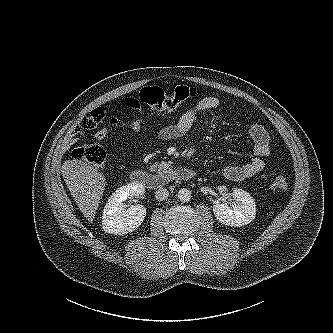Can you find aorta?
Here are the masks:
<instances>
[{
    "label": "aorta",
    "instance_id": "aorta-1",
    "mask_svg": "<svg viewBox=\"0 0 333 333\" xmlns=\"http://www.w3.org/2000/svg\"><path fill=\"white\" fill-rule=\"evenodd\" d=\"M178 198L182 202H188L191 199V191L189 189L183 188L178 192Z\"/></svg>",
    "mask_w": 333,
    "mask_h": 333
}]
</instances>
